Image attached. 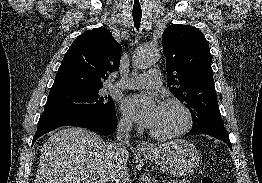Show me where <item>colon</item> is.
<instances>
[{
	"label": "colon",
	"mask_w": 262,
	"mask_h": 183,
	"mask_svg": "<svg viewBox=\"0 0 262 183\" xmlns=\"http://www.w3.org/2000/svg\"><path fill=\"white\" fill-rule=\"evenodd\" d=\"M200 183H218L212 176L206 175L201 178Z\"/></svg>",
	"instance_id": "obj_1"
}]
</instances>
